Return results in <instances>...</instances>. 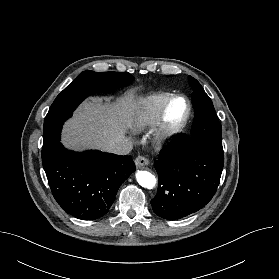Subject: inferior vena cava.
<instances>
[{
    "label": "inferior vena cava",
    "instance_id": "1",
    "mask_svg": "<svg viewBox=\"0 0 279 279\" xmlns=\"http://www.w3.org/2000/svg\"><path fill=\"white\" fill-rule=\"evenodd\" d=\"M133 149V142L129 138L112 141L105 146V151L117 155H126Z\"/></svg>",
    "mask_w": 279,
    "mask_h": 279
}]
</instances>
